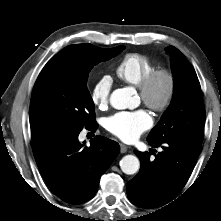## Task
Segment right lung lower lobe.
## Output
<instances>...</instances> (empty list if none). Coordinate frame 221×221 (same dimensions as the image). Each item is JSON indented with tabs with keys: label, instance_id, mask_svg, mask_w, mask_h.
I'll list each match as a JSON object with an SVG mask.
<instances>
[{
	"label": "right lung lower lobe",
	"instance_id": "1",
	"mask_svg": "<svg viewBox=\"0 0 221 221\" xmlns=\"http://www.w3.org/2000/svg\"><path fill=\"white\" fill-rule=\"evenodd\" d=\"M93 127L97 129V123ZM81 130L59 126L31 130L33 153L43 178L70 204H81L95 195L100 177L120 150L117 142L103 136L84 146L78 141Z\"/></svg>",
	"mask_w": 221,
	"mask_h": 221
}]
</instances>
